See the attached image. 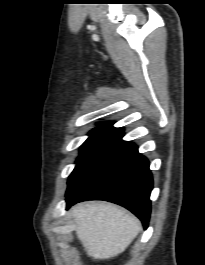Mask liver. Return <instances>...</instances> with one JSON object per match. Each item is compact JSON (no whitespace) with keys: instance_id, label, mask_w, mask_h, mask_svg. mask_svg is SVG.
Instances as JSON below:
<instances>
[{"instance_id":"liver-1","label":"liver","mask_w":205,"mask_h":265,"mask_svg":"<svg viewBox=\"0 0 205 265\" xmlns=\"http://www.w3.org/2000/svg\"><path fill=\"white\" fill-rule=\"evenodd\" d=\"M71 216L88 256L98 260L122 253L142 228L135 216L111 204H78L71 209Z\"/></svg>"}]
</instances>
